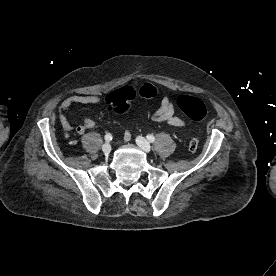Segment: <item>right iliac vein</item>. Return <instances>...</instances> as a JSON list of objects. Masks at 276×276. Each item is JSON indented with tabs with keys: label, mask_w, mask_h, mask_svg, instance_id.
<instances>
[{
	"label": "right iliac vein",
	"mask_w": 276,
	"mask_h": 276,
	"mask_svg": "<svg viewBox=\"0 0 276 276\" xmlns=\"http://www.w3.org/2000/svg\"><path fill=\"white\" fill-rule=\"evenodd\" d=\"M102 151L105 153V154H109L110 151H111V145L109 143H105L103 146H102Z\"/></svg>",
	"instance_id": "right-iliac-vein-1"
}]
</instances>
